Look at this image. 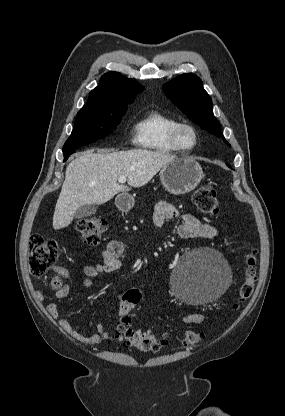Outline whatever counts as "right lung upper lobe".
Here are the masks:
<instances>
[{
  "mask_svg": "<svg viewBox=\"0 0 285 416\" xmlns=\"http://www.w3.org/2000/svg\"><path fill=\"white\" fill-rule=\"evenodd\" d=\"M143 89L136 80L125 78L118 72H109L101 77L100 84L90 92L88 102L83 107H127Z\"/></svg>",
  "mask_w": 285,
  "mask_h": 416,
  "instance_id": "obj_1",
  "label": "right lung upper lobe"
}]
</instances>
